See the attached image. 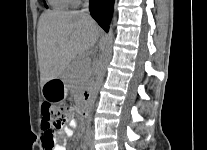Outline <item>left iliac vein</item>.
<instances>
[{
  "label": "left iliac vein",
  "instance_id": "obj_1",
  "mask_svg": "<svg viewBox=\"0 0 207 150\" xmlns=\"http://www.w3.org/2000/svg\"><path fill=\"white\" fill-rule=\"evenodd\" d=\"M90 147H91V150H94V147H93V144H92V140L90 141Z\"/></svg>",
  "mask_w": 207,
  "mask_h": 150
}]
</instances>
